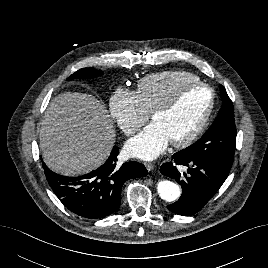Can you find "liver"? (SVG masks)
Masks as SVG:
<instances>
[{
	"label": "liver",
	"instance_id": "obj_1",
	"mask_svg": "<svg viewBox=\"0 0 268 268\" xmlns=\"http://www.w3.org/2000/svg\"><path fill=\"white\" fill-rule=\"evenodd\" d=\"M115 136L108 110L100 101L90 94L65 92L46 109L39 146L52 171L78 176L105 162Z\"/></svg>",
	"mask_w": 268,
	"mask_h": 268
}]
</instances>
